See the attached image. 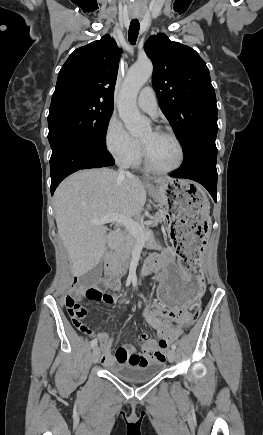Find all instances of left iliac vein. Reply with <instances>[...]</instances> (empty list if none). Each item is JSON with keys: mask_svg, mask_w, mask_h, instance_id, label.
I'll return each instance as SVG.
<instances>
[{"mask_svg": "<svg viewBox=\"0 0 263 435\" xmlns=\"http://www.w3.org/2000/svg\"><path fill=\"white\" fill-rule=\"evenodd\" d=\"M167 357H168L169 362H171V363L174 362L176 359L175 350H173V349L169 350Z\"/></svg>", "mask_w": 263, "mask_h": 435, "instance_id": "obj_1", "label": "left iliac vein"}]
</instances>
